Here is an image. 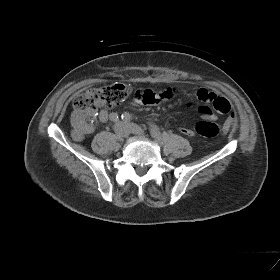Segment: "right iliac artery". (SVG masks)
<instances>
[{"label":"right iliac artery","mask_w":280,"mask_h":280,"mask_svg":"<svg viewBox=\"0 0 280 280\" xmlns=\"http://www.w3.org/2000/svg\"><path fill=\"white\" fill-rule=\"evenodd\" d=\"M109 118L111 121L116 122L118 120V115L116 113H111Z\"/></svg>","instance_id":"1"}]
</instances>
